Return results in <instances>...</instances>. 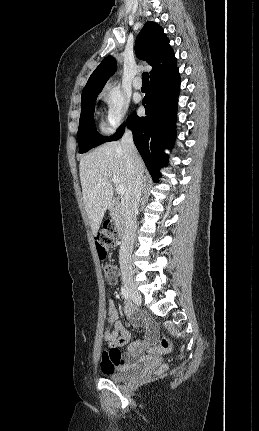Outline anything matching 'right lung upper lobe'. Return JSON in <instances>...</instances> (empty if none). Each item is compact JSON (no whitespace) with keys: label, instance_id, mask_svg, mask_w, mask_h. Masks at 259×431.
<instances>
[{"label":"right lung upper lobe","instance_id":"cb5924a9","mask_svg":"<svg viewBox=\"0 0 259 431\" xmlns=\"http://www.w3.org/2000/svg\"><path fill=\"white\" fill-rule=\"evenodd\" d=\"M137 57L147 61L152 66L150 79L158 76L176 65L174 52L169 40L160 25L146 22L137 36L135 43ZM116 71V61L106 57L91 74L82 91V97L93 92H101L111 75Z\"/></svg>","mask_w":259,"mask_h":431}]
</instances>
